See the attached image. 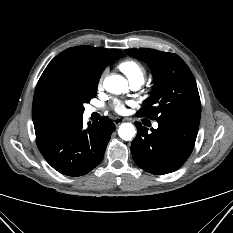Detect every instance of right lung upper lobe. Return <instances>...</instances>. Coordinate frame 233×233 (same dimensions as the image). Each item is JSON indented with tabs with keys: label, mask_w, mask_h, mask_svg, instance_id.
<instances>
[{
	"label": "right lung upper lobe",
	"mask_w": 233,
	"mask_h": 233,
	"mask_svg": "<svg viewBox=\"0 0 233 233\" xmlns=\"http://www.w3.org/2000/svg\"><path fill=\"white\" fill-rule=\"evenodd\" d=\"M120 54L116 49L82 45L57 55L35 89L32 118L36 136L78 117L68 99L69 89L78 81L98 82L103 69Z\"/></svg>",
	"instance_id": "1"
}]
</instances>
